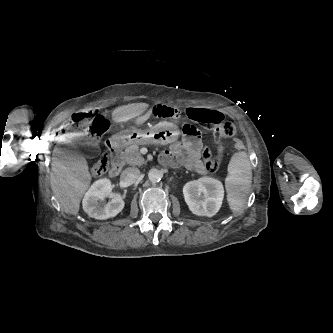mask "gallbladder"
<instances>
[{"mask_svg": "<svg viewBox=\"0 0 333 333\" xmlns=\"http://www.w3.org/2000/svg\"><path fill=\"white\" fill-rule=\"evenodd\" d=\"M74 141L77 145L85 146L89 152H92L96 148V143L94 141H89L85 136H78Z\"/></svg>", "mask_w": 333, "mask_h": 333, "instance_id": "1", "label": "gallbladder"}]
</instances>
